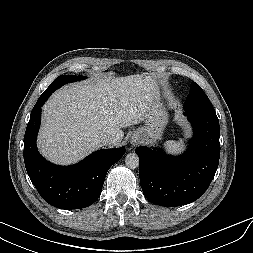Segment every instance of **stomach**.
<instances>
[{
  "mask_svg": "<svg viewBox=\"0 0 253 253\" xmlns=\"http://www.w3.org/2000/svg\"><path fill=\"white\" fill-rule=\"evenodd\" d=\"M167 123L168 113L161 102L160 94L157 93L147 111L145 126L139 128L136 132L141 135L143 141H157L162 138Z\"/></svg>",
  "mask_w": 253,
  "mask_h": 253,
  "instance_id": "stomach-1",
  "label": "stomach"
}]
</instances>
